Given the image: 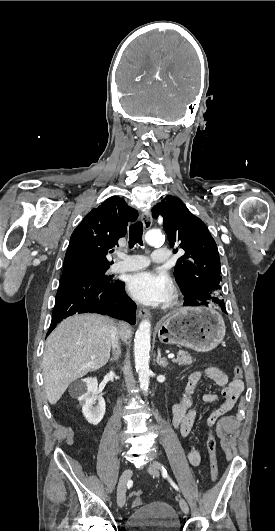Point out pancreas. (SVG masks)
I'll return each mask as SVG.
<instances>
[{"instance_id":"obj_1","label":"pancreas","mask_w":275,"mask_h":531,"mask_svg":"<svg viewBox=\"0 0 275 531\" xmlns=\"http://www.w3.org/2000/svg\"><path fill=\"white\" fill-rule=\"evenodd\" d=\"M194 361L195 359L190 357L189 353H185V351H178L177 359H174V363H178V365H191Z\"/></svg>"}]
</instances>
